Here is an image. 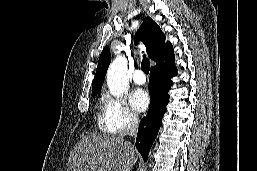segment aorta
Instances as JSON below:
<instances>
[{
    "instance_id": "1",
    "label": "aorta",
    "mask_w": 257,
    "mask_h": 171,
    "mask_svg": "<svg viewBox=\"0 0 257 171\" xmlns=\"http://www.w3.org/2000/svg\"><path fill=\"white\" fill-rule=\"evenodd\" d=\"M126 72L127 63L122 56H118L108 68L107 85L110 93L115 97L122 96L127 89L128 79Z\"/></svg>"
}]
</instances>
